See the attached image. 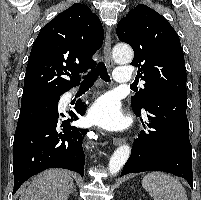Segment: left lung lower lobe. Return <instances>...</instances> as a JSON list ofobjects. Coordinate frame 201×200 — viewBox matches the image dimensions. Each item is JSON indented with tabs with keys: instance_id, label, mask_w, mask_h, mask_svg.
Masks as SVG:
<instances>
[{
	"instance_id": "obj_1",
	"label": "left lung lower lobe",
	"mask_w": 201,
	"mask_h": 200,
	"mask_svg": "<svg viewBox=\"0 0 201 200\" xmlns=\"http://www.w3.org/2000/svg\"><path fill=\"white\" fill-rule=\"evenodd\" d=\"M148 113L147 133L140 132L121 176L143 171H164L183 177L193 188L192 146L186 116V95H156L143 107ZM140 116V112H135Z\"/></svg>"
}]
</instances>
